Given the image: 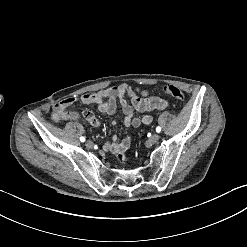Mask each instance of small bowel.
<instances>
[{
  "label": "small bowel",
  "mask_w": 247,
  "mask_h": 247,
  "mask_svg": "<svg viewBox=\"0 0 247 247\" xmlns=\"http://www.w3.org/2000/svg\"><path fill=\"white\" fill-rule=\"evenodd\" d=\"M78 100L83 105L96 106L100 112L107 115L114 114L117 109V103H119L124 114L123 124L126 127L133 128L150 124L153 121V117L149 112L163 110L168 107V102L164 99L151 95L148 91L135 89L128 83H121L97 92L86 93ZM76 101L77 99L73 97L61 100L55 105V110L63 119H82L90 127H95L98 124V119L90 110H85L81 114L66 110ZM134 111L141 112L143 115L135 117ZM112 124L116 125L117 121L113 120ZM131 142L132 137L130 135L126 136L122 141H118L117 135L114 134L111 140L105 144L104 149L118 154L117 161L120 164H126L128 162L126 150L129 149Z\"/></svg>",
  "instance_id": "1"
}]
</instances>
